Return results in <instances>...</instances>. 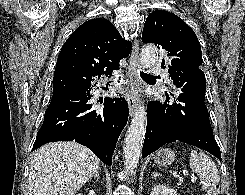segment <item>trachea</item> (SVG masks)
Masks as SVG:
<instances>
[{
	"label": "trachea",
	"mask_w": 245,
	"mask_h": 195,
	"mask_svg": "<svg viewBox=\"0 0 245 195\" xmlns=\"http://www.w3.org/2000/svg\"><path fill=\"white\" fill-rule=\"evenodd\" d=\"M140 76H141V78H143V79H147V78H155V76L146 74V73H144V72H140ZM119 78H120V77H119Z\"/></svg>",
	"instance_id": "obj_1"
}]
</instances>
